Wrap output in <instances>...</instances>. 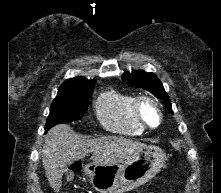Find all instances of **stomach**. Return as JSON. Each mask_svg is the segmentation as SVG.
I'll list each match as a JSON object with an SVG mask.
<instances>
[{
  "instance_id": "0dacf381",
  "label": "stomach",
  "mask_w": 221,
  "mask_h": 193,
  "mask_svg": "<svg viewBox=\"0 0 221 193\" xmlns=\"http://www.w3.org/2000/svg\"><path fill=\"white\" fill-rule=\"evenodd\" d=\"M164 151L146 146L122 164H87L84 168L93 188L99 193H125L153 178L165 162Z\"/></svg>"
}]
</instances>
